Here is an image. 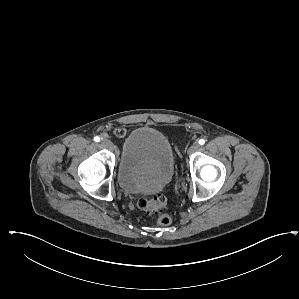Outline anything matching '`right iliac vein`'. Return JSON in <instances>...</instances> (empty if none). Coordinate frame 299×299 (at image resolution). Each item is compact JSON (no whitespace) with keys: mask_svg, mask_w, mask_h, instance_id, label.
Returning <instances> with one entry per match:
<instances>
[{"mask_svg":"<svg viewBox=\"0 0 299 299\" xmlns=\"http://www.w3.org/2000/svg\"><path fill=\"white\" fill-rule=\"evenodd\" d=\"M101 144L108 149H113V143L107 138H103Z\"/></svg>","mask_w":299,"mask_h":299,"instance_id":"1","label":"right iliac vein"}]
</instances>
